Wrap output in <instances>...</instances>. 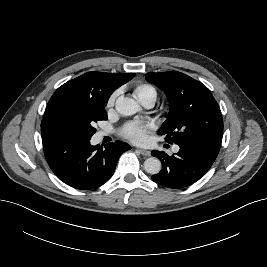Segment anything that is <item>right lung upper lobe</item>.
<instances>
[{"label":"right lung upper lobe","mask_w":267,"mask_h":267,"mask_svg":"<svg viewBox=\"0 0 267 267\" xmlns=\"http://www.w3.org/2000/svg\"><path fill=\"white\" fill-rule=\"evenodd\" d=\"M135 73L88 72L60 86L51 97L46 110L62 99L107 103L110 95L118 87L128 82ZM51 130L43 118L41 132Z\"/></svg>","instance_id":"cb5924a9"}]
</instances>
